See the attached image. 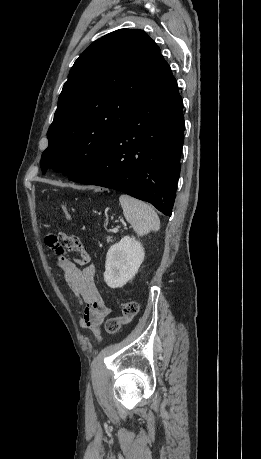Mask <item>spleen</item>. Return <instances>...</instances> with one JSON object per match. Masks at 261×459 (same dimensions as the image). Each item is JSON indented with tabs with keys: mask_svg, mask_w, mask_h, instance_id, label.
<instances>
[{
	"mask_svg": "<svg viewBox=\"0 0 261 459\" xmlns=\"http://www.w3.org/2000/svg\"><path fill=\"white\" fill-rule=\"evenodd\" d=\"M119 201L127 222L138 236L160 229L159 217L150 205L126 194H122Z\"/></svg>",
	"mask_w": 261,
	"mask_h": 459,
	"instance_id": "obj_1",
	"label": "spleen"
}]
</instances>
